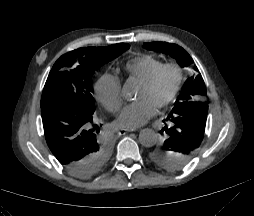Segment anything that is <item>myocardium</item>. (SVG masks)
<instances>
[{
    "mask_svg": "<svg viewBox=\"0 0 254 216\" xmlns=\"http://www.w3.org/2000/svg\"><path fill=\"white\" fill-rule=\"evenodd\" d=\"M166 70H170L174 73V77H175L174 84L168 96L156 105L157 108H164L168 106L175 99L180 89L182 78H183V71L181 66L174 62L163 63L147 79L141 82L142 86L146 88H150L156 83L159 76Z\"/></svg>",
    "mask_w": 254,
    "mask_h": 216,
    "instance_id": "f54148a6",
    "label": "myocardium"
}]
</instances>
